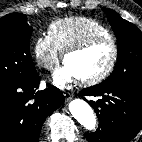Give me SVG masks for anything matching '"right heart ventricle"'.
<instances>
[{
	"label": "right heart ventricle",
	"mask_w": 142,
	"mask_h": 142,
	"mask_svg": "<svg viewBox=\"0 0 142 142\" xmlns=\"http://www.w3.org/2000/svg\"><path fill=\"white\" fill-rule=\"evenodd\" d=\"M96 34L111 35L103 24L85 16L57 19L48 26V36L60 52L86 37Z\"/></svg>",
	"instance_id": "right-heart-ventricle-1"
}]
</instances>
